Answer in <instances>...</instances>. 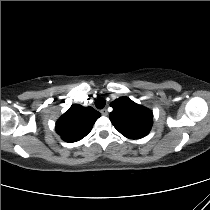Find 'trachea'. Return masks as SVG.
<instances>
[{
    "instance_id": "trachea-1",
    "label": "trachea",
    "mask_w": 210,
    "mask_h": 210,
    "mask_svg": "<svg viewBox=\"0 0 210 210\" xmlns=\"http://www.w3.org/2000/svg\"><path fill=\"white\" fill-rule=\"evenodd\" d=\"M105 104H106V101L104 98L102 97H99L96 99L95 101V106L98 108V109H102L105 107Z\"/></svg>"
}]
</instances>
